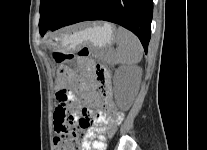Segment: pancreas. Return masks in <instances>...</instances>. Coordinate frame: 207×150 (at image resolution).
Listing matches in <instances>:
<instances>
[{
	"label": "pancreas",
	"instance_id": "obj_1",
	"mask_svg": "<svg viewBox=\"0 0 207 150\" xmlns=\"http://www.w3.org/2000/svg\"><path fill=\"white\" fill-rule=\"evenodd\" d=\"M102 60L108 63L115 64L116 63V57L112 50L106 51L102 53Z\"/></svg>",
	"mask_w": 207,
	"mask_h": 150
}]
</instances>
